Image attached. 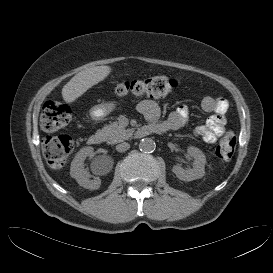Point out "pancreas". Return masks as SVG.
<instances>
[{"label":"pancreas","mask_w":273,"mask_h":273,"mask_svg":"<svg viewBox=\"0 0 273 273\" xmlns=\"http://www.w3.org/2000/svg\"><path fill=\"white\" fill-rule=\"evenodd\" d=\"M109 144L127 140L132 135V129H125L118 122L106 125L101 130Z\"/></svg>","instance_id":"1"}]
</instances>
